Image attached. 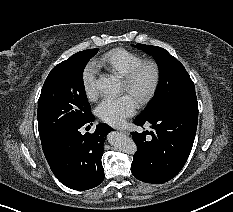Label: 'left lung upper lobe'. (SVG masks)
I'll list each match as a JSON object with an SVG mask.
<instances>
[{
    "label": "left lung upper lobe",
    "instance_id": "1",
    "mask_svg": "<svg viewBox=\"0 0 233 212\" xmlns=\"http://www.w3.org/2000/svg\"><path fill=\"white\" fill-rule=\"evenodd\" d=\"M136 47L151 54L160 67V83L142 115L168 106L198 109L194 83L183 65L167 50L144 44Z\"/></svg>",
    "mask_w": 233,
    "mask_h": 212
}]
</instances>
